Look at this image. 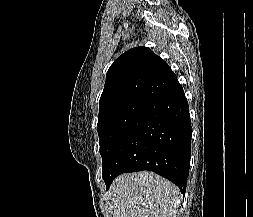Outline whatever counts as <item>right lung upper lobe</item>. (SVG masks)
<instances>
[{
	"label": "right lung upper lobe",
	"instance_id": "1",
	"mask_svg": "<svg viewBox=\"0 0 253 217\" xmlns=\"http://www.w3.org/2000/svg\"><path fill=\"white\" fill-rule=\"evenodd\" d=\"M176 81L167 63L149 48L130 49L109 68L99 109L127 99L151 101Z\"/></svg>",
	"mask_w": 253,
	"mask_h": 217
}]
</instances>
